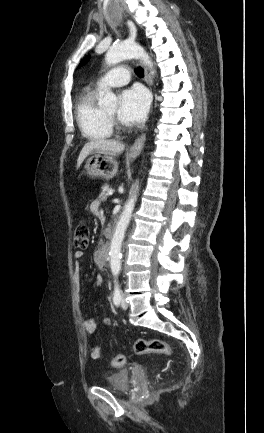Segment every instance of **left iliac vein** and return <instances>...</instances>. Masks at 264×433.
<instances>
[{"mask_svg": "<svg viewBox=\"0 0 264 433\" xmlns=\"http://www.w3.org/2000/svg\"><path fill=\"white\" fill-rule=\"evenodd\" d=\"M125 297H126L125 294H122V296H121V302L120 303H121V307L123 309H127L128 308V303H127Z\"/></svg>", "mask_w": 264, "mask_h": 433, "instance_id": "obj_1", "label": "left iliac vein"}]
</instances>
